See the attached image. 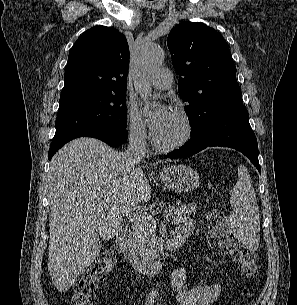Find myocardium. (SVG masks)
<instances>
[{
	"label": "myocardium",
	"instance_id": "f54148a6",
	"mask_svg": "<svg viewBox=\"0 0 297 305\" xmlns=\"http://www.w3.org/2000/svg\"><path fill=\"white\" fill-rule=\"evenodd\" d=\"M174 114L179 118L183 125V132L181 136L171 143H161L153 136L152 143L155 148L162 152H170L184 146L193 135V124L191 118L187 113L181 110H176Z\"/></svg>",
	"mask_w": 297,
	"mask_h": 305
}]
</instances>
